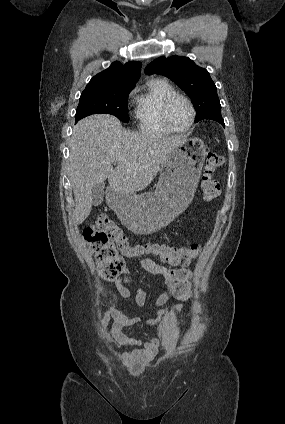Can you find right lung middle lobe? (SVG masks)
I'll return each mask as SVG.
<instances>
[{
	"label": "right lung middle lobe",
	"instance_id": "right-lung-middle-lobe-1",
	"mask_svg": "<svg viewBox=\"0 0 285 424\" xmlns=\"http://www.w3.org/2000/svg\"><path fill=\"white\" fill-rule=\"evenodd\" d=\"M133 85L85 89L79 100L75 121L96 114H112L122 122H129L128 95Z\"/></svg>",
	"mask_w": 285,
	"mask_h": 424
}]
</instances>
